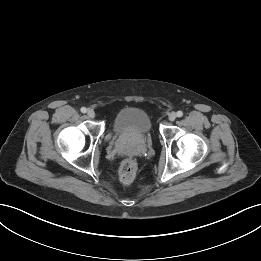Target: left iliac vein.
Masks as SVG:
<instances>
[{
  "mask_svg": "<svg viewBox=\"0 0 261 261\" xmlns=\"http://www.w3.org/2000/svg\"><path fill=\"white\" fill-rule=\"evenodd\" d=\"M168 119L170 121H174L176 119V113H174V112L170 113L169 116H168Z\"/></svg>",
  "mask_w": 261,
  "mask_h": 261,
  "instance_id": "left-iliac-vein-1",
  "label": "left iliac vein"
}]
</instances>
